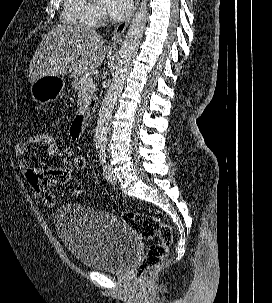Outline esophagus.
Wrapping results in <instances>:
<instances>
[{"label": "esophagus", "instance_id": "34e87169", "mask_svg": "<svg viewBox=\"0 0 272 303\" xmlns=\"http://www.w3.org/2000/svg\"><path fill=\"white\" fill-rule=\"evenodd\" d=\"M138 5H139V0H135V5H134V8H133V11H132L131 15L126 20L119 23L117 25V27L115 28L113 36L110 40V45L111 46L115 47L118 44H120V42L122 41L124 32L127 29V27L129 26V24L132 20V17L134 16V13H135L136 9L138 8Z\"/></svg>", "mask_w": 272, "mask_h": 303}]
</instances>
